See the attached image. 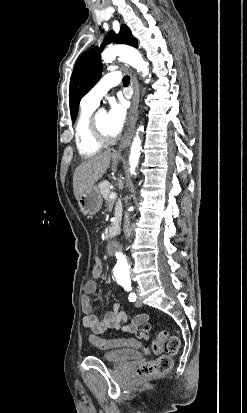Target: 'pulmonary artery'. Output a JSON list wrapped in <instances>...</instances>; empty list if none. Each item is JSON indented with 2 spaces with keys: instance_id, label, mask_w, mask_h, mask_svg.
<instances>
[{
  "instance_id": "obj_1",
  "label": "pulmonary artery",
  "mask_w": 247,
  "mask_h": 413,
  "mask_svg": "<svg viewBox=\"0 0 247 413\" xmlns=\"http://www.w3.org/2000/svg\"><path fill=\"white\" fill-rule=\"evenodd\" d=\"M121 79L119 72L104 74L83 96L82 101L87 107H96L101 98Z\"/></svg>"
}]
</instances>
